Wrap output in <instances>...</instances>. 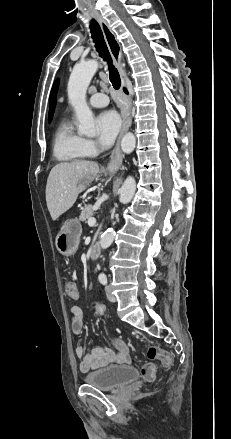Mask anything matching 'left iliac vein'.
<instances>
[{
    "label": "left iliac vein",
    "mask_w": 231,
    "mask_h": 439,
    "mask_svg": "<svg viewBox=\"0 0 231 439\" xmlns=\"http://www.w3.org/2000/svg\"><path fill=\"white\" fill-rule=\"evenodd\" d=\"M106 295L109 301L116 302V297L112 293V289L110 288V286L106 287Z\"/></svg>",
    "instance_id": "4c4485c4"
}]
</instances>
